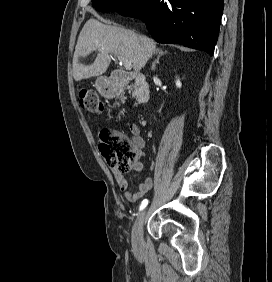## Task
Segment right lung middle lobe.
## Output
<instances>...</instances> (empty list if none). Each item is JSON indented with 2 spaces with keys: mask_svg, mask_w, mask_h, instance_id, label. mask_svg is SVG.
I'll return each instance as SVG.
<instances>
[{
  "mask_svg": "<svg viewBox=\"0 0 272 282\" xmlns=\"http://www.w3.org/2000/svg\"><path fill=\"white\" fill-rule=\"evenodd\" d=\"M141 0H92V5L99 11H121Z\"/></svg>",
  "mask_w": 272,
  "mask_h": 282,
  "instance_id": "obj_1",
  "label": "right lung middle lobe"
}]
</instances>
